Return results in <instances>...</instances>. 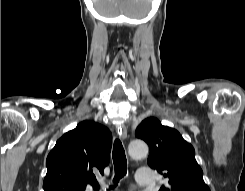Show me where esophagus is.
Segmentation results:
<instances>
[{"label": "esophagus", "instance_id": "obj_1", "mask_svg": "<svg viewBox=\"0 0 245 191\" xmlns=\"http://www.w3.org/2000/svg\"><path fill=\"white\" fill-rule=\"evenodd\" d=\"M117 133L122 139L127 138V129L124 124L117 126Z\"/></svg>", "mask_w": 245, "mask_h": 191}]
</instances>
